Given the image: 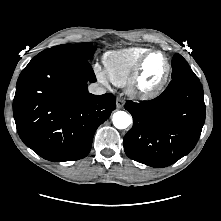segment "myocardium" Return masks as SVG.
I'll return each instance as SVG.
<instances>
[{
	"label": "myocardium",
	"mask_w": 221,
	"mask_h": 221,
	"mask_svg": "<svg viewBox=\"0 0 221 221\" xmlns=\"http://www.w3.org/2000/svg\"><path fill=\"white\" fill-rule=\"evenodd\" d=\"M154 54H161L164 56L166 61V71L162 76V78L154 86L145 87L142 83L144 66L148 58ZM171 71H172V64L167 54L159 49H151L148 52H146L137 63L128 82L129 92L140 99H150L156 97L165 88L167 81L170 77Z\"/></svg>",
	"instance_id": "f54148a6"
}]
</instances>
